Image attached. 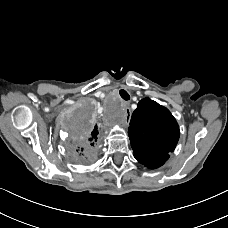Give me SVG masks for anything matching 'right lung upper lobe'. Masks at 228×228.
Segmentation results:
<instances>
[{
	"label": "right lung upper lobe",
	"instance_id": "right-lung-upper-lobe-1",
	"mask_svg": "<svg viewBox=\"0 0 228 228\" xmlns=\"http://www.w3.org/2000/svg\"><path fill=\"white\" fill-rule=\"evenodd\" d=\"M92 135H93L92 138L89 139V141H91L92 143L86 142L85 144L78 146L77 152H78V151H79V152H83L84 149L90 147V145L94 146L95 141H97V140H96L97 132L92 133Z\"/></svg>",
	"mask_w": 228,
	"mask_h": 228
}]
</instances>
